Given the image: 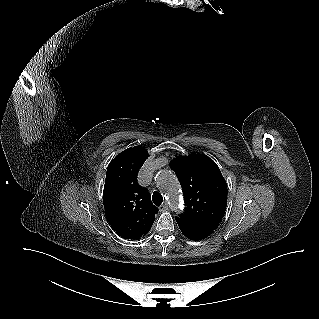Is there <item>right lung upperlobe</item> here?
<instances>
[{
  "mask_svg": "<svg viewBox=\"0 0 319 319\" xmlns=\"http://www.w3.org/2000/svg\"><path fill=\"white\" fill-rule=\"evenodd\" d=\"M148 157L144 147L135 146L119 153L107 168L104 208L112 229L124 239L145 236L158 212L147 189L137 182V173Z\"/></svg>",
  "mask_w": 319,
  "mask_h": 319,
  "instance_id": "1",
  "label": "right lung upper lobe"
}]
</instances>
